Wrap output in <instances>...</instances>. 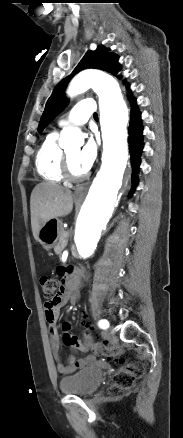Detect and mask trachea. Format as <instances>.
<instances>
[{
    "instance_id": "obj_1",
    "label": "trachea",
    "mask_w": 183,
    "mask_h": 438,
    "mask_svg": "<svg viewBox=\"0 0 183 438\" xmlns=\"http://www.w3.org/2000/svg\"><path fill=\"white\" fill-rule=\"evenodd\" d=\"M94 118H98V114L97 113H94Z\"/></svg>"
}]
</instances>
